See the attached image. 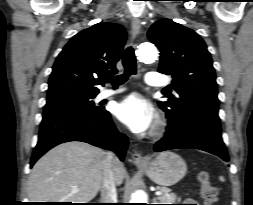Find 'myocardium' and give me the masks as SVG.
Wrapping results in <instances>:
<instances>
[{
    "label": "myocardium",
    "mask_w": 253,
    "mask_h": 205,
    "mask_svg": "<svg viewBox=\"0 0 253 205\" xmlns=\"http://www.w3.org/2000/svg\"><path fill=\"white\" fill-rule=\"evenodd\" d=\"M164 129V123L162 121H159L155 127V129L152 132L153 136H158L163 132Z\"/></svg>",
    "instance_id": "1"
}]
</instances>
